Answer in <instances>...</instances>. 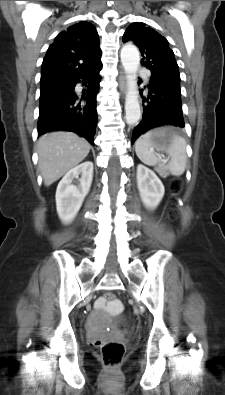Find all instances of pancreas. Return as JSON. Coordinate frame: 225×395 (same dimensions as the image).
<instances>
[{"label":"pancreas","instance_id":"1","mask_svg":"<svg viewBox=\"0 0 225 395\" xmlns=\"http://www.w3.org/2000/svg\"><path fill=\"white\" fill-rule=\"evenodd\" d=\"M162 176H163V177H166V176H167V174H166L165 172H163V173H162Z\"/></svg>","mask_w":225,"mask_h":395}]
</instances>
